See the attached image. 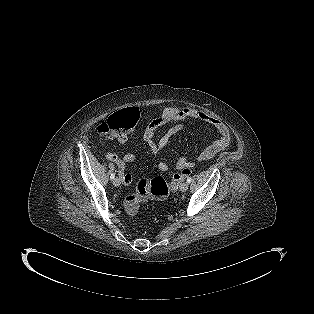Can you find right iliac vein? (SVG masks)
<instances>
[{
    "label": "right iliac vein",
    "instance_id": "obj_1",
    "mask_svg": "<svg viewBox=\"0 0 314 314\" xmlns=\"http://www.w3.org/2000/svg\"><path fill=\"white\" fill-rule=\"evenodd\" d=\"M113 184H114V186L118 187V186L121 184L120 179H119V178H115V179L113 180Z\"/></svg>",
    "mask_w": 314,
    "mask_h": 314
}]
</instances>
